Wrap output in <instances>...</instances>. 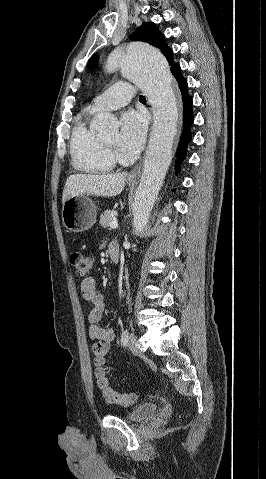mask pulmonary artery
Returning a JSON list of instances; mask_svg holds the SVG:
<instances>
[{
  "mask_svg": "<svg viewBox=\"0 0 266 479\" xmlns=\"http://www.w3.org/2000/svg\"><path fill=\"white\" fill-rule=\"evenodd\" d=\"M135 90L128 82H117L95 97L90 104V110H115L126 105L134 96Z\"/></svg>",
  "mask_w": 266,
  "mask_h": 479,
  "instance_id": "e3ab8cb5",
  "label": "pulmonary artery"
}]
</instances>
